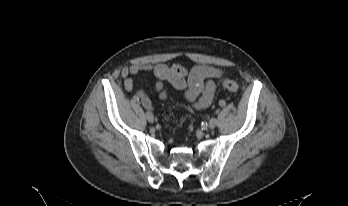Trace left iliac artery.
Listing matches in <instances>:
<instances>
[{"label": "left iliac artery", "mask_w": 348, "mask_h": 206, "mask_svg": "<svg viewBox=\"0 0 348 206\" xmlns=\"http://www.w3.org/2000/svg\"><path fill=\"white\" fill-rule=\"evenodd\" d=\"M219 106H220V107L225 106V102H224V101H219Z\"/></svg>", "instance_id": "obj_1"}]
</instances>
